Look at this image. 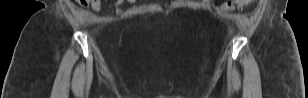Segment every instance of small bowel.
<instances>
[{
  "label": "small bowel",
  "instance_id": "obj_1",
  "mask_svg": "<svg viewBox=\"0 0 308 98\" xmlns=\"http://www.w3.org/2000/svg\"><path fill=\"white\" fill-rule=\"evenodd\" d=\"M122 1H118L117 4H120ZM131 2H135L134 0H131ZM83 5V4H82ZM91 5L94 12L99 13L101 10V2L100 0H89L84 6Z\"/></svg>",
  "mask_w": 308,
  "mask_h": 98
}]
</instances>
